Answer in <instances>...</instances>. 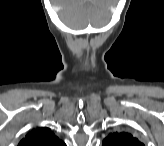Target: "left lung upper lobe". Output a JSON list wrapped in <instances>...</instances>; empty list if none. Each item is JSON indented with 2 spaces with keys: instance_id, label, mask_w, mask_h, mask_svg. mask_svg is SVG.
<instances>
[{
  "instance_id": "1",
  "label": "left lung upper lobe",
  "mask_w": 164,
  "mask_h": 146,
  "mask_svg": "<svg viewBox=\"0 0 164 146\" xmlns=\"http://www.w3.org/2000/svg\"><path fill=\"white\" fill-rule=\"evenodd\" d=\"M102 146H143V144L130 133L115 132L103 140Z\"/></svg>"
}]
</instances>
